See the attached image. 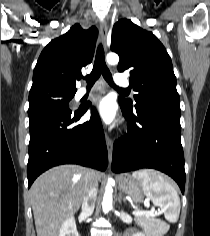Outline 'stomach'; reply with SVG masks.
Masks as SVG:
<instances>
[{"instance_id": "0dacf381", "label": "stomach", "mask_w": 210, "mask_h": 236, "mask_svg": "<svg viewBox=\"0 0 210 236\" xmlns=\"http://www.w3.org/2000/svg\"><path fill=\"white\" fill-rule=\"evenodd\" d=\"M120 189L132 198L135 203H140L145 195L141 180L133 175H121L118 177Z\"/></svg>"}]
</instances>
